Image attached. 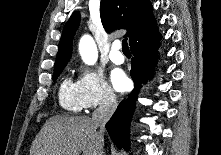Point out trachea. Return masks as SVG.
<instances>
[{
	"mask_svg": "<svg viewBox=\"0 0 221 155\" xmlns=\"http://www.w3.org/2000/svg\"><path fill=\"white\" fill-rule=\"evenodd\" d=\"M122 50L124 53H129L130 52V49H129V46H128V43H127V38L123 39L122 41Z\"/></svg>",
	"mask_w": 221,
	"mask_h": 155,
	"instance_id": "1",
	"label": "trachea"
}]
</instances>
